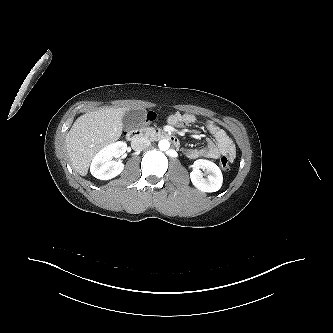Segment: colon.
I'll use <instances>...</instances> for the list:
<instances>
[{
  "label": "colon",
  "instance_id": "5ec220e1",
  "mask_svg": "<svg viewBox=\"0 0 333 333\" xmlns=\"http://www.w3.org/2000/svg\"><path fill=\"white\" fill-rule=\"evenodd\" d=\"M156 119V114L153 111H148L145 116V123H151ZM222 170L226 171L230 168V159L227 156H222L219 161Z\"/></svg>",
  "mask_w": 333,
  "mask_h": 333
}]
</instances>
